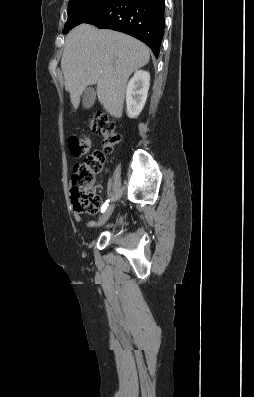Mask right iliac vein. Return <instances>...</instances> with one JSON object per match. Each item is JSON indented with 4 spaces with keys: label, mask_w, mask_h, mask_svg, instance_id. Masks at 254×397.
Here are the masks:
<instances>
[{
    "label": "right iliac vein",
    "mask_w": 254,
    "mask_h": 397,
    "mask_svg": "<svg viewBox=\"0 0 254 397\" xmlns=\"http://www.w3.org/2000/svg\"><path fill=\"white\" fill-rule=\"evenodd\" d=\"M114 210V205L111 204L106 210L105 212L101 215L99 221H98V226H102L103 224H105L108 219L110 218V216L112 215V212Z\"/></svg>",
    "instance_id": "1"
}]
</instances>
